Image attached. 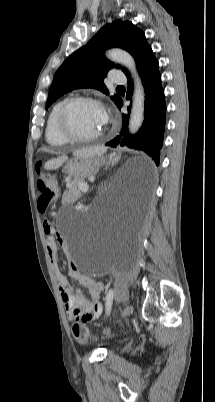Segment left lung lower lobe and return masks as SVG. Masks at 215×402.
<instances>
[{"mask_svg": "<svg viewBox=\"0 0 215 402\" xmlns=\"http://www.w3.org/2000/svg\"><path fill=\"white\" fill-rule=\"evenodd\" d=\"M138 71L145 90V115L143 124L136 134L130 135L127 129L129 115L123 114V126L120 134L106 145L112 147L121 145L142 150L146 152L152 158L154 164L158 166L166 123V103L164 91L161 86V75L157 59L155 57L151 58ZM127 78V99H131L133 83L130 75L127 76ZM116 105L121 109L123 105L122 98ZM151 173L152 168H149L146 175Z\"/></svg>", "mask_w": 215, "mask_h": 402, "instance_id": "obj_1", "label": "left lung lower lobe"}]
</instances>
